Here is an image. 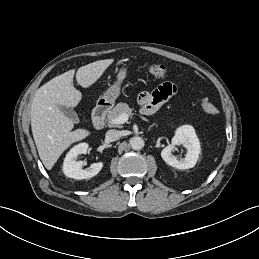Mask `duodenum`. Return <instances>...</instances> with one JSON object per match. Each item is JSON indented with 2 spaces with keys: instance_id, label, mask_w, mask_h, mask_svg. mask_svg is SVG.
<instances>
[{
  "instance_id": "410a0bca",
  "label": "duodenum",
  "mask_w": 259,
  "mask_h": 259,
  "mask_svg": "<svg viewBox=\"0 0 259 259\" xmlns=\"http://www.w3.org/2000/svg\"><path fill=\"white\" fill-rule=\"evenodd\" d=\"M109 110L108 104H100L95 107L92 115L93 125L95 129H101L104 126L105 117Z\"/></svg>"
}]
</instances>
